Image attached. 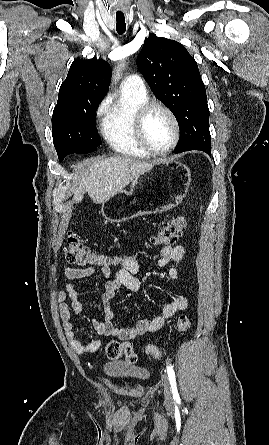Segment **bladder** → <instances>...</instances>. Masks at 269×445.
I'll list each match as a JSON object with an SVG mask.
<instances>
[{"instance_id":"bladder-1","label":"bladder","mask_w":269,"mask_h":445,"mask_svg":"<svg viewBox=\"0 0 269 445\" xmlns=\"http://www.w3.org/2000/svg\"><path fill=\"white\" fill-rule=\"evenodd\" d=\"M102 371L109 378L136 382H145L150 377L147 369L133 367L122 361H107L103 364Z\"/></svg>"}]
</instances>
